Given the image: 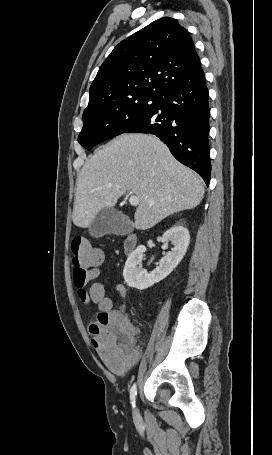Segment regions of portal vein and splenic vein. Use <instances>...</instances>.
<instances>
[{"label": "portal vein and splenic vein", "mask_w": 272, "mask_h": 455, "mask_svg": "<svg viewBox=\"0 0 272 455\" xmlns=\"http://www.w3.org/2000/svg\"><path fill=\"white\" fill-rule=\"evenodd\" d=\"M129 202H130V204L133 205V206L139 205V200H138L137 196H135V195H131V196H130Z\"/></svg>", "instance_id": "obj_1"}]
</instances>
